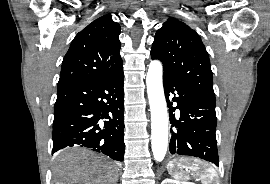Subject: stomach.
Listing matches in <instances>:
<instances>
[{"label": "stomach", "mask_w": 270, "mask_h": 184, "mask_svg": "<svg viewBox=\"0 0 270 184\" xmlns=\"http://www.w3.org/2000/svg\"><path fill=\"white\" fill-rule=\"evenodd\" d=\"M167 169L173 177L181 176V173L185 171L182 159H175L169 162Z\"/></svg>", "instance_id": "stomach-1"}]
</instances>
